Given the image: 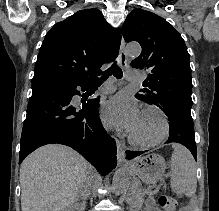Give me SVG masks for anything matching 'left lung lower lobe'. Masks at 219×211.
<instances>
[{"label": "left lung lower lobe", "mask_w": 219, "mask_h": 211, "mask_svg": "<svg viewBox=\"0 0 219 211\" xmlns=\"http://www.w3.org/2000/svg\"><path fill=\"white\" fill-rule=\"evenodd\" d=\"M170 131L169 138L166 143H180L187 147L195 160H197V148L194 138V124L193 122L183 121V120H172L169 121ZM144 151H126V158L131 160L141 154Z\"/></svg>", "instance_id": "left-lung-lower-lobe-1"}]
</instances>
